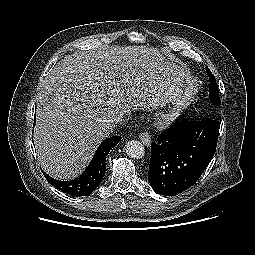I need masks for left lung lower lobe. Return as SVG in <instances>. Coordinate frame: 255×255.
<instances>
[{"mask_svg":"<svg viewBox=\"0 0 255 255\" xmlns=\"http://www.w3.org/2000/svg\"><path fill=\"white\" fill-rule=\"evenodd\" d=\"M220 123L182 120L151 145L148 179L155 192L174 196L190 188L214 156Z\"/></svg>","mask_w":255,"mask_h":255,"instance_id":"0a47b994","label":"left lung lower lobe"}]
</instances>
